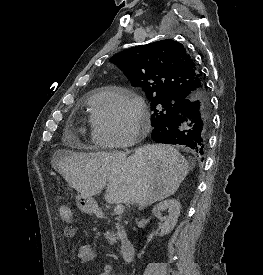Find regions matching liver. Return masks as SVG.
<instances>
[{"mask_svg":"<svg viewBox=\"0 0 263 275\" xmlns=\"http://www.w3.org/2000/svg\"><path fill=\"white\" fill-rule=\"evenodd\" d=\"M54 169L79 193L92 197L106 187L110 204H137L143 209L173 195L194 164L173 147L145 145L125 153L97 152L54 156Z\"/></svg>","mask_w":263,"mask_h":275,"instance_id":"obj_1","label":"liver"}]
</instances>
